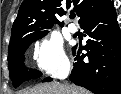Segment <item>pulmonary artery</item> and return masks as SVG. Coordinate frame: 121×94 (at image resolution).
<instances>
[{
    "mask_svg": "<svg viewBox=\"0 0 121 94\" xmlns=\"http://www.w3.org/2000/svg\"><path fill=\"white\" fill-rule=\"evenodd\" d=\"M68 29H69V31H70L71 33H76L77 30H78L77 26H76L75 24H73V23H70V24L68 25Z\"/></svg>",
    "mask_w": 121,
    "mask_h": 94,
    "instance_id": "1",
    "label": "pulmonary artery"
}]
</instances>
